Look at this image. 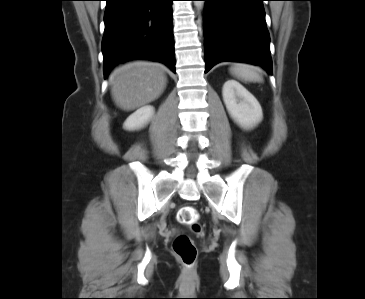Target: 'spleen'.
Listing matches in <instances>:
<instances>
[{
  "mask_svg": "<svg viewBox=\"0 0 365 299\" xmlns=\"http://www.w3.org/2000/svg\"><path fill=\"white\" fill-rule=\"evenodd\" d=\"M231 73L237 78L248 82H260L262 80V76L256 68L248 64H235L231 67Z\"/></svg>",
  "mask_w": 365,
  "mask_h": 299,
  "instance_id": "1",
  "label": "spleen"
}]
</instances>
